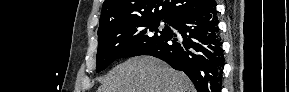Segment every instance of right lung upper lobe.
Wrapping results in <instances>:
<instances>
[{
    "instance_id": "1",
    "label": "right lung upper lobe",
    "mask_w": 289,
    "mask_h": 92,
    "mask_svg": "<svg viewBox=\"0 0 289 92\" xmlns=\"http://www.w3.org/2000/svg\"><path fill=\"white\" fill-rule=\"evenodd\" d=\"M213 0H105L99 31L122 21L157 18L172 21L178 16L197 11ZM162 6L161 10L158 8Z\"/></svg>"
}]
</instances>
